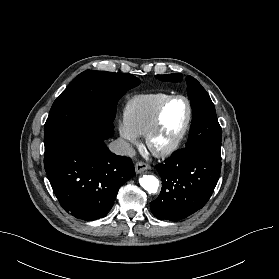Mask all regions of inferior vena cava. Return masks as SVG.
Segmentation results:
<instances>
[{"instance_id": "inferior-vena-cava-1", "label": "inferior vena cava", "mask_w": 279, "mask_h": 279, "mask_svg": "<svg viewBox=\"0 0 279 279\" xmlns=\"http://www.w3.org/2000/svg\"><path fill=\"white\" fill-rule=\"evenodd\" d=\"M109 149L117 155L134 156L135 149L124 139H117L109 144Z\"/></svg>"}]
</instances>
